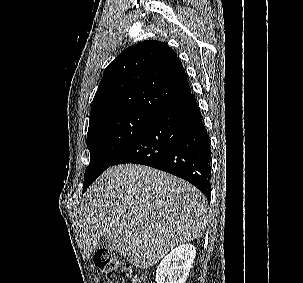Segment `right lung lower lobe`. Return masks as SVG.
<instances>
[{"instance_id": "98d812e1", "label": "right lung lower lobe", "mask_w": 303, "mask_h": 283, "mask_svg": "<svg viewBox=\"0 0 303 283\" xmlns=\"http://www.w3.org/2000/svg\"><path fill=\"white\" fill-rule=\"evenodd\" d=\"M135 163L181 177L210 201L209 138L193 93L160 111L112 165Z\"/></svg>"}]
</instances>
